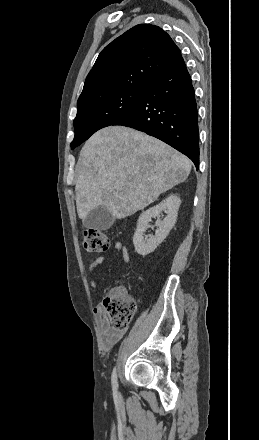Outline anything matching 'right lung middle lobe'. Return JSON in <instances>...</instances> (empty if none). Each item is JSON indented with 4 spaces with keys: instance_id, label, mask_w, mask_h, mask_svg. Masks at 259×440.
I'll use <instances>...</instances> for the list:
<instances>
[{
    "instance_id": "dd1d6c3e",
    "label": "right lung middle lobe",
    "mask_w": 259,
    "mask_h": 440,
    "mask_svg": "<svg viewBox=\"0 0 259 440\" xmlns=\"http://www.w3.org/2000/svg\"><path fill=\"white\" fill-rule=\"evenodd\" d=\"M147 88L120 89L77 107L71 149L79 146L99 129L110 126L127 115L139 103Z\"/></svg>"
}]
</instances>
